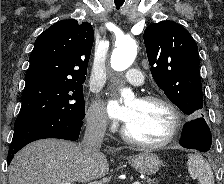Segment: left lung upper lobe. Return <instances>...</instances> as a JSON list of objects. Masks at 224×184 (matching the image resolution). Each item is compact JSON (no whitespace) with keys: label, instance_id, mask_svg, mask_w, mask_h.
<instances>
[{"label":"left lung upper lobe","instance_id":"1","mask_svg":"<svg viewBox=\"0 0 224 184\" xmlns=\"http://www.w3.org/2000/svg\"><path fill=\"white\" fill-rule=\"evenodd\" d=\"M143 37L157 85L182 112L199 117L203 108L199 54L190 33L175 22L162 21L149 25Z\"/></svg>","mask_w":224,"mask_h":184}]
</instances>
